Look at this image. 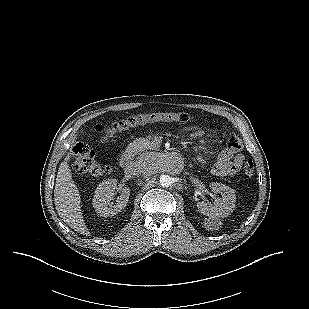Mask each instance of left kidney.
Returning a JSON list of instances; mask_svg holds the SVG:
<instances>
[{"instance_id":"5707ae66","label":"left kidney","mask_w":309,"mask_h":309,"mask_svg":"<svg viewBox=\"0 0 309 309\" xmlns=\"http://www.w3.org/2000/svg\"><path fill=\"white\" fill-rule=\"evenodd\" d=\"M209 187L213 193H220L221 197L215 198L214 205L204 201L198 202V211L203 215H206L211 220L228 217L235 208V191L229 186L217 182H212Z\"/></svg>"}]
</instances>
